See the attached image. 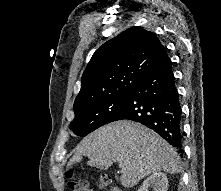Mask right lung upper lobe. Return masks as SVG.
Segmentation results:
<instances>
[{
  "label": "right lung upper lobe",
  "mask_w": 221,
  "mask_h": 191,
  "mask_svg": "<svg viewBox=\"0 0 221 191\" xmlns=\"http://www.w3.org/2000/svg\"><path fill=\"white\" fill-rule=\"evenodd\" d=\"M167 58L154 33L137 26L123 31L93 54L82 75L74 112L132 91Z\"/></svg>",
  "instance_id": "right-lung-upper-lobe-1"
}]
</instances>
